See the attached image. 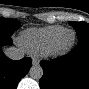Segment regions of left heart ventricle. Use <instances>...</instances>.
Returning a JSON list of instances; mask_svg holds the SVG:
<instances>
[{
  "label": "left heart ventricle",
  "mask_w": 89,
  "mask_h": 89,
  "mask_svg": "<svg viewBox=\"0 0 89 89\" xmlns=\"http://www.w3.org/2000/svg\"><path fill=\"white\" fill-rule=\"evenodd\" d=\"M68 39H69V35H68V34L62 35V36L60 37V39H59V44H63V43H65V42H67Z\"/></svg>",
  "instance_id": "obj_1"
}]
</instances>
